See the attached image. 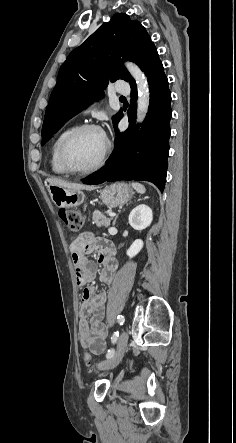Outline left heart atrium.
<instances>
[{
  "label": "left heart atrium",
  "mask_w": 236,
  "mask_h": 443,
  "mask_svg": "<svg viewBox=\"0 0 236 443\" xmlns=\"http://www.w3.org/2000/svg\"><path fill=\"white\" fill-rule=\"evenodd\" d=\"M104 137H105V139L107 138L105 133H104Z\"/></svg>",
  "instance_id": "39dd6f15"
}]
</instances>
